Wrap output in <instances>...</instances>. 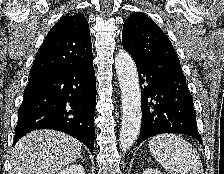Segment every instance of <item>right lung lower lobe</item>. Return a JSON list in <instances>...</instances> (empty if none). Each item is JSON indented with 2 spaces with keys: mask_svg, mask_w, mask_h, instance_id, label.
<instances>
[{
  "mask_svg": "<svg viewBox=\"0 0 224 174\" xmlns=\"http://www.w3.org/2000/svg\"><path fill=\"white\" fill-rule=\"evenodd\" d=\"M95 103L92 59L30 75L13 145L30 131L53 129L75 137L93 152Z\"/></svg>",
  "mask_w": 224,
  "mask_h": 174,
  "instance_id": "obj_1",
  "label": "right lung lower lobe"
}]
</instances>
